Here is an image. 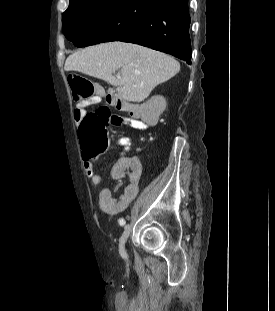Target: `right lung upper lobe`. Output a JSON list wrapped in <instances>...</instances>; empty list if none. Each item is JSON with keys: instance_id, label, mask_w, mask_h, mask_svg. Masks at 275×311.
<instances>
[{"instance_id": "right-lung-upper-lobe-1", "label": "right lung upper lobe", "mask_w": 275, "mask_h": 311, "mask_svg": "<svg viewBox=\"0 0 275 311\" xmlns=\"http://www.w3.org/2000/svg\"><path fill=\"white\" fill-rule=\"evenodd\" d=\"M76 1H83V0H70V3L76 2ZM161 1H165V0H161Z\"/></svg>"}]
</instances>
